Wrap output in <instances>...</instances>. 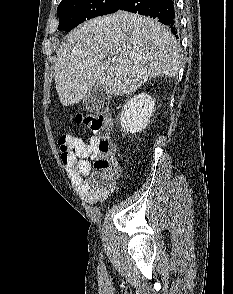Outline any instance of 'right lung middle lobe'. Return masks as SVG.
Instances as JSON below:
<instances>
[{
    "instance_id": "1",
    "label": "right lung middle lobe",
    "mask_w": 233,
    "mask_h": 294,
    "mask_svg": "<svg viewBox=\"0 0 233 294\" xmlns=\"http://www.w3.org/2000/svg\"><path fill=\"white\" fill-rule=\"evenodd\" d=\"M125 0H62L57 8L59 30L71 31L80 23L116 12Z\"/></svg>"
}]
</instances>
